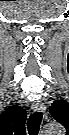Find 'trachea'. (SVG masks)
Instances as JSON below:
<instances>
[{
	"mask_svg": "<svg viewBox=\"0 0 69 135\" xmlns=\"http://www.w3.org/2000/svg\"><path fill=\"white\" fill-rule=\"evenodd\" d=\"M43 114L42 112H34L29 116L27 122V129L29 135H37L40 130V125L42 121Z\"/></svg>",
	"mask_w": 69,
	"mask_h": 135,
	"instance_id": "trachea-1",
	"label": "trachea"
}]
</instances>
